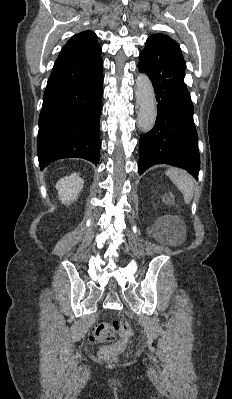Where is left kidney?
<instances>
[{
    "label": "left kidney",
    "instance_id": "1",
    "mask_svg": "<svg viewBox=\"0 0 232 399\" xmlns=\"http://www.w3.org/2000/svg\"><path fill=\"white\" fill-rule=\"evenodd\" d=\"M154 227H158V229H161L164 233H171V231H173V233H178V231L184 229V223L180 221V219H165V217H159V219L155 221Z\"/></svg>",
    "mask_w": 232,
    "mask_h": 399
}]
</instances>
